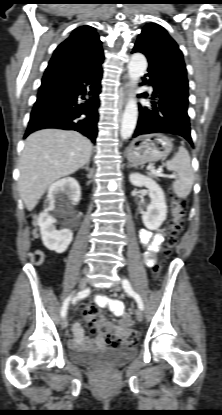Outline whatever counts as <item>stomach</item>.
Wrapping results in <instances>:
<instances>
[{
  "mask_svg": "<svg viewBox=\"0 0 222 415\" xmlns=\"http://www.w3.org/2000/svg\"><path fill=\"white\" fill-rule=\"evenodd\" d=\"M173 140L161 133H151L135 138L127 151L133 165H143L162 159L172 151Z\"/></svg>",
  "mask_w": 222,
  "mask_h": 415,
  "instance_id": "obj_1",
  "label": "stomach"
}]
</instances>
